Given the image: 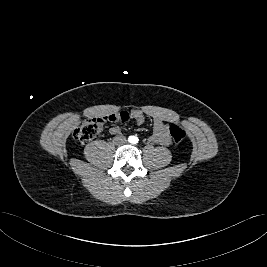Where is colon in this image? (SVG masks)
Here are the masks:
<instances>
[{
    "mask_svg": "<svg viewBox=\"0 0 267 267\" xmlns=\"http://www.w3.org/2000/svg\"><path fill=\"white\" fill-rule=\"evenodd\" d=\"M125 112H116L109 117L91 118L83 121L73 132V137L79 142H86L94 139L100 133L104 122L106 121H126ZM169 133L176 143H181L186 133L179 125L172 124L169 127Z\"/></svg>",
    "mask_w": 267,
    "mask_h": 267,
    "instance_id": "5ec220e1",
    "label": "colon"
}]
</instances>
